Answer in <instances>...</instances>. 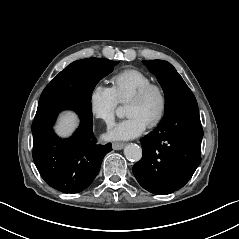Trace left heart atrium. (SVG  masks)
<instances>
[{
	"mask_svg": "<svg viewBox=\"0 0 239 239\" xmlns=\"http://www.w3.org/2000/svg\"><path fill=\"white\" fill-rule=\"evenodd\" d=\"M147 123L138 115H129L125 120L111 127L108 137L111 139H131L142 134Z\"/></svg>",
	"mask_w": 239,
	"mask_h": 239,
	"instance_id": "1",
	"label": "left heart atrium"
}]
</instances>
